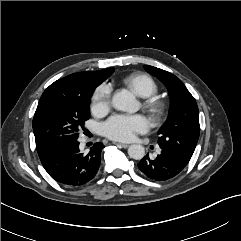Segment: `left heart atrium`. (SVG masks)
<instances>
[{
    "label": "left heart atrium",
    "instance_id": "1",
    "mask_svg": "<svg viewBox=\"0 0 241 241\" xmlns=\"http://www.w3.org/2000/svg\"><path fill=\"white\" fill-rule=\"evenodd\" d=\"M148 120L139 114L114 115L103 124L104 134L115 141H132L136 134L146 132L149 129Z\"/></svg>",
    "mask_w": 241,
    "mask_h": 241
}]
</instances>
